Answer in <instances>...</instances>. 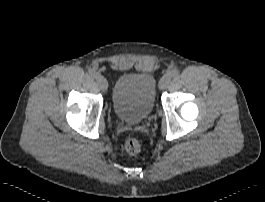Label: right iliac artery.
Wrapping results in <instances>:
<instances>
[{
	"label": "right iliac artery",
	"mask_w": 265,
	"mask_h": 202,
	"mask_svg": "<svg viewBox=\"0 0 265 202\" xmlns=\"http://www.w3.org/2000/svg\"><path fill=\"white\" fill-rule=\"evenodd\" d=\"M88 76H89L90 78H96L97 73H96L94 70H89V71H88Z\"/></svg>",
	"instance_id": "82829eb1"
}]
</instances>
